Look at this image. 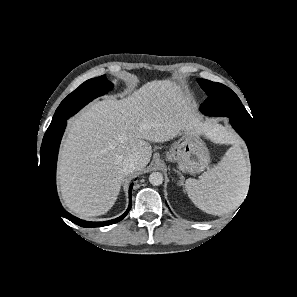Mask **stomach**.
Listing matches in <instances>:
<instances>
[{
  "label": "stomach",
  "instance_id": "obj_1",
  "mask_svg": "<svg viewBox=\"0 0 297 297\" xmlns=\"http://www.w3.org/2000/svg\"><path fill=\"white\" fill-rule=\"evenodd\" d=\"M166 159L178 163L187 173L193 174L208 167L210 155L200 134L186 128L181 138L166 152Z\"/></svg>",
  "mask_w": 297,
  "mask_h": 297
}]
</instances>
